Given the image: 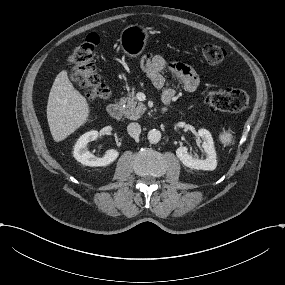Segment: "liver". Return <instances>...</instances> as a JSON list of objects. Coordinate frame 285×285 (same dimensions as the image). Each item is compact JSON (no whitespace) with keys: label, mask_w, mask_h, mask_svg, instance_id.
<instances>
[{"label":"liver","mask_w":285,"mask_h":285,"mask_svg":"<svg viewBox=\"0 0 285 285\" xmlns=\"http://www.w3.org/2000/svg\"><path fill=\"white\" fill-rule=\"evenodd\" d=\"M89 112L86 98L73 87L67 72L61 71L52 85L47 104V119L53 139L59 142L67 138L86 123Z\"/></svg>","instance_id":"1"}]
</instances>
